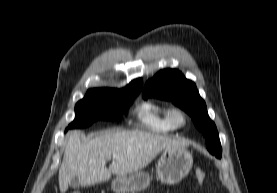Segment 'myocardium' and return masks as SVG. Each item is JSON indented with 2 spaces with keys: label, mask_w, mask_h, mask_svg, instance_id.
Wrapping results in <instances>:
<instances>
[{
  "label": "myocardium",
  "mask_w": 277,
  "mask_h": 193,
  "mask_svg": "<svg viewBox=\"0 0 277 193\" xmlns=\"http://www.w3.org/2000/svg\"><path fill=\"white\" fill-rule=\"evenodd\" d=\"M169 120L176 129L184 128L188 123V115L183 109L172 107L169 110Z\"/></svg>",
  "instance_id": "1"
}]
</instances>
